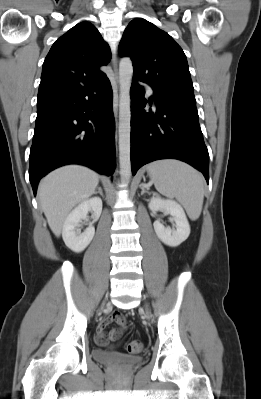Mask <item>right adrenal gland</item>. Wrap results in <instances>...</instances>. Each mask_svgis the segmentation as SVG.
Listing matches in <instances>:
<instances>
[{
  "instance_id": "1",
  "label": "right adrenal gland",
  "mask_w": 261,
  "mask_h": 399,
  "mask_svg": "<svg viewBox=\"0 0 261 399\" xmlns=\"http://www.w3.org/2000/svg\"><path fill=\"white\" fill-rule=\"evenodd\" d=\"M97 190L98 191H96L95 194L99 193L103 197L104 195H103V191H102L101 187H98Z\"/></svg>"
}]
</instances>
